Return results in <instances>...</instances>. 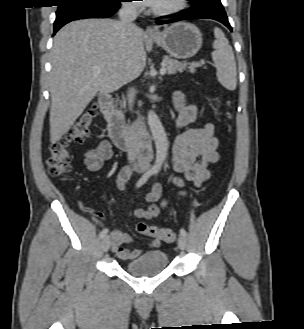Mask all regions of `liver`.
<instances>
[{
    "label": "liver",
    "instance_id": "obj_1",
    "mask_svg": "<svg viewBox=\"0 0 304 329\" xmlns=\"http://www.w3.org/2000/svg\"><path fill=\"white\" fill-rule=\"evenodd\" d=\"M51 65L50 142L56 143L98 92L116 91L142 73L143 32L135 27L124 35L112 19L73 21L55 35Z\"/></svg>",
    "mask_w": 304,
    "mask_h": 329
}]
</instances>
